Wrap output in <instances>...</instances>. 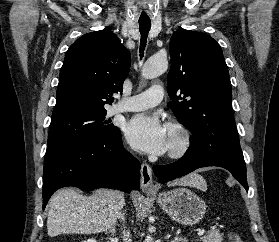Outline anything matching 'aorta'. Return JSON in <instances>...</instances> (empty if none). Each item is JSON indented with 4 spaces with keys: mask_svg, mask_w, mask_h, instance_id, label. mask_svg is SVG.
Masks as SVG:
<instances>
[{
    "mask_svg": "<svg viewBox=\"0 0 279 242\" xmlns=\"http://www.w3.org/2000/svg\"><path fill=\"white\" fill-rule=\"evenodd\" d=\"M168 68V60L165 55L155 54L150 57L143 66L142 76L145 79H153L163 74ZM144 242H153L151 236H147Z\"/></svg>",
    "mask_w": 279,
    "mask_h": 242,
    "instance_id": "1",
    "label": "aorta"
}]
</instances>
